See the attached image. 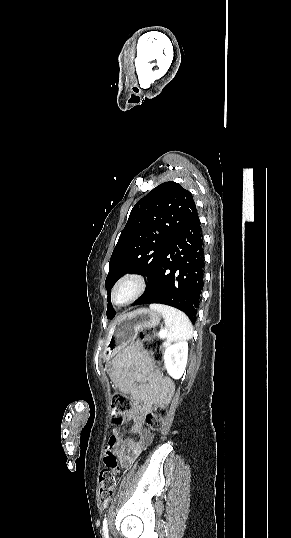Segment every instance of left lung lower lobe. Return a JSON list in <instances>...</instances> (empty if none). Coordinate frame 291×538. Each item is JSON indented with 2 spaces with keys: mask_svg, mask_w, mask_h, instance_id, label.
Here are the masks:
<instances>
[{
  "mask_svg": "<svg viewBox=\"0 0 291 538\" xmlns=\"http://www.w3.org/2000/svg\"><path fill=\"white\" fill-rule=\"evenodd\" d=\"M203 286V235L196 213L165 250L144 294L133 306L153 303L173 306L195 323Z\"/></svg>",
  "mask_w": 291,
  "mask_h": 538,
  "instance_id": "0a47b994",
  "label": "left lung lower lobe"
}]
</instances>
